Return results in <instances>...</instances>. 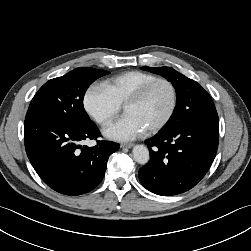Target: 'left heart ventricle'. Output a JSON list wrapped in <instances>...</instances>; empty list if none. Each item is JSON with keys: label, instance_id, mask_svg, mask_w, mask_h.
<instances>
[{"label": "left heart ventricle", "instance_id": "obj_1", "mask_svg": "<svg viewBox=\"0 0 251 251\" xmlns=\"http://www.w3.org/2000/svg\"><path fill=\"white\" fill-rule=\"evenodd\" d=\"M171 101L170 88L164 83H159L140 103L128 106L125 113L134 116L145 130H148L164 119L170 109Z\"/></svg>", "mask_w": 251, "mask_h": 251}]
</instances>
